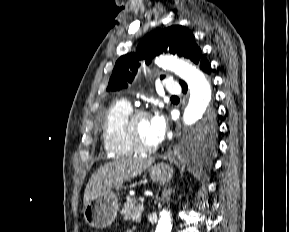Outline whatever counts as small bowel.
Instances as JSON below:
<instances>
[{
	"instance_id": "obj_1",
	"label": "small bowel",
	"mask_w": 289,
	"mask_h": 232,
	"mask_svg": "<svg viewBox=\"0 0 289 232\" xmlns=\"http://www.w3.org/2000/svg\"><path fill=\"white\" fill-rule=\"evenodd\" d=\"M126 232H133L132 230H127Z\"/></svg>"
}]
</instances>
